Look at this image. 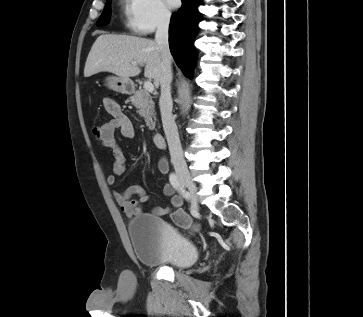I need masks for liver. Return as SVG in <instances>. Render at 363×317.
<instances>
[{"mask_svg": "<svg viewBox=\"0 0 363 317\" xmlns=\"http://www.w3.org/2000/svg\"><path fill=\"white\" fill-rule=\"evenodd\" d=\"M143 65L144 76L153 79L155 87H158L162 57L155 41L136 36L103 34L96 39L88 54L84 77L110 72L129 79L139 75L140 66Z\"/></svg>", "mask_w": 363, "mask_h": 317, "instance_id": "liver-1", "label": "liver"}]
</instances>
